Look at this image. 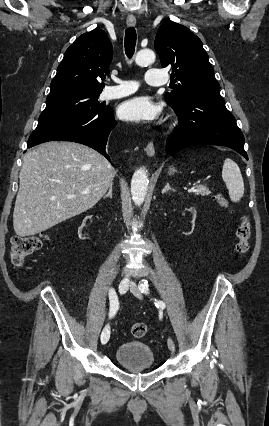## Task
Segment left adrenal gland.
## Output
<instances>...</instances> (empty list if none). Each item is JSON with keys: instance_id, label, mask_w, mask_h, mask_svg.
I'll return each instance as SVG.
<instances>
[{"instance_id": "a2214340", "label": "left adrenal gland", "mask_w": 269, "mask_h": 426, "mask_svg": "<svg viewBox=\"0 0 269 426\" xmlns=\"http://www.w3.org/2000/svg\"><path fill=\"white\" fill-rule=\"evenodd\" d=\"M168 191H175L173 188L170 187L169 183H166V186L162 190V194L168 192Z\"/></svg>"}]
</instances>
